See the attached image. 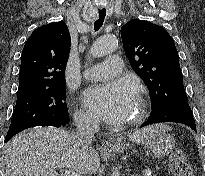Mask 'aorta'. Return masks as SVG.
<instances>
[{"mask_svg": "<svg viewBox=\"0 0 205 176\" xmlns=\"http://www.w3.org/2000/svg\"><path fill=\"white\" fill-rule=\"evenodd\" d=\"M118 46V40L114 36H105L99 38L91 47V54L94 57H101L112 53Z\"/></svg>", "mask_w": 205, "mask_h": 176, "instance_id": "aorta-1", "label": "aorta"}]
</instances>
